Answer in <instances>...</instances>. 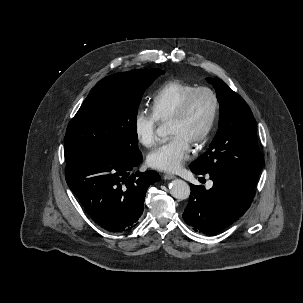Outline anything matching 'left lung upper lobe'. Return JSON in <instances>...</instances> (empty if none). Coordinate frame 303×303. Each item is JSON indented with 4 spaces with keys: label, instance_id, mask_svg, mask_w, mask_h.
<instances>
[{
    "label": "left lung upper lobe",
    "instance_id": "1",
    "mask_svg": "<svg viewBox=\"0 0 303 303\" xmlns=\"http://www.w3.org/2000/svg\"><path fill=\"white\" fill-rule=\"evenodd\" d=\"M220 103L219 127L209 150L190 168L203 174L220 171L256 187L263 165L256 123L247 103L219 78H207Z\"/></svg>",
    "mask_w": 303,
    "mask_h": 303
}]
</instances>
